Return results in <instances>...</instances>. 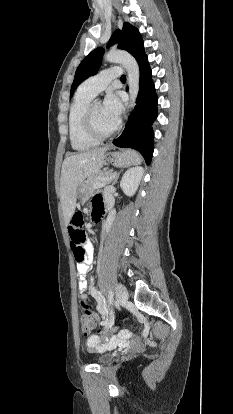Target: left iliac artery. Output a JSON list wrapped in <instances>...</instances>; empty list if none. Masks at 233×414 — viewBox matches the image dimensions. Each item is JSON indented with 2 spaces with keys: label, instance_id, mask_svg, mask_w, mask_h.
Returning a JSON list of instances; mask_svg holds the SVG:
<instances>
[{
  "label": "left iliac artery",
  "instance_id": "44dca946",
  "mask_svg": "<svg viewBox=\"0 0 233 414\" xmlns=\"http://www.w3.org/2000/svg\"><path fill=\"white\" fill-rule=\"evenodd\" d=\"M108 302H109L110 305L113 302V292L111 290H109V292H108ZM98 310H99V307H98Z\"/></svg>",
  "mask_w": 233,
  "mask_h": 414
}]
</instances>
